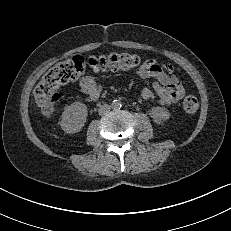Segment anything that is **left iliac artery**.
<instances>
[{
    "label": "left iliac artery",
    "instance_id": "left-iliac-artery-1",
    "mask_svg": "<svg viewBox=\"0 0 231 231\" xmlns=\"http://www.w3.org/2000/svg\"><path fill=\"white\" fill-rule=\"evenodd\" d=\"M118 106H119V109H120L122 105H121V104H118Z\"/></svg>",
    "mask_w": 231,
    "mask_h": 231
}]
</instances>
